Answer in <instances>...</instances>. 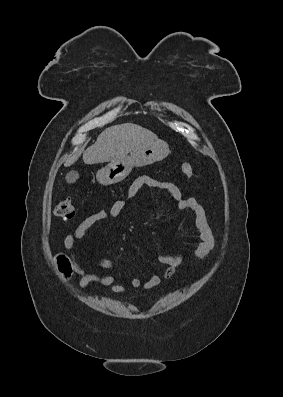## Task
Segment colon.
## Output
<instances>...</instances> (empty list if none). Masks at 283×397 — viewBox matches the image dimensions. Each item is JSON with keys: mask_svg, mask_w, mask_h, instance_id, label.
I'll list each match as a JSON object with an SVG mask.
<instances>
[{"mask_svg": "<svg viewBox=\"0 0 283 397\" xmlns=\"http://www.w3.org/2000/svg\"><path fill=\"white\" fill-rule=\"evenodd\" d=\"M180 171L187 178H191L193 176V168L188 162L180 163ZM55 214L63 220H70L75 215L73 202L68 198L60 201L55 207ZM56 261L60 273L65 277H70L73 267L69 257L63 253H59L56 256Z\"/></svg>", "mask_w": 283, "mask_h": 397, "instance_id": "colon-1", "label": "colon"}]
</instances>
